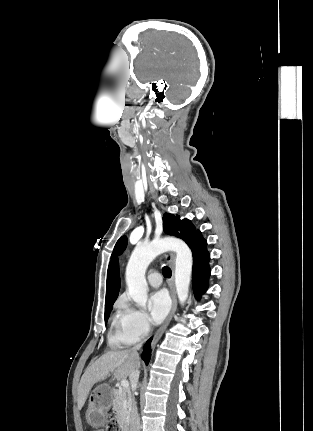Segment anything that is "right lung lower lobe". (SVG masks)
Listing matches in <instances>:
<instances>
[{
    "label": "right lung lower lobe",
    "instance_id": "1",
    "mask_svg": "<svg viewBox=\"0 0 313 431\" xmlns=\"http://www.w3.org/2000/svg\"><path fill=\"white\" fill-rule=\"evenodd\" d=\"M151 341H152V338H150L146 342V344L144 345V348H143L142 359L144 360L146 365H148L150 358H151V350H150Z\"/></svg>",
    "mask_w": 313,
    "mask_h": 431
}]
</instances>
